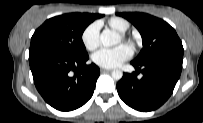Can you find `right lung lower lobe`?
Wrapping results in <instances>:
<instances>
[{
  "instance_id": "right-lung-lower-lobe-1",
  "label": "right lung lower lobe",
  "mask_w": 203,
  "mask_h": 123,
  "mask_svg": "<svg viewBox=\"0 0 203 123\" xmlns=\"http://www.w3.org/2000/svg\"><path fill=\"white\" fill-rule=\"evenodd\" d=\"M88 54L68 57L43 50L29 51V64L35 86L43 99L60 111H72L93 95L100 70L86 65Z\"/></svg>"
}]
</instances>
